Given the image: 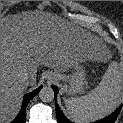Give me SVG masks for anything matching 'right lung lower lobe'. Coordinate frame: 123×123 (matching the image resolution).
<instances>
[{"label":"right lung lower lobe","mask_w":123,"mask_h":123,"mask_svg":"<svg viewBox=\"0 0 123 123\" xmlns=\"http://www.w3.org/2000/svg\"><path fill=\"white\" fill-rule=\"evenodd\" d=\"M42 89V86H40L39 88H37L36 90L26 94L24 96V100H23V105H22V109L19 113V115L17 116V118L12 122V123H26V117H25V108L27 106V104L29 103V101L36 96L39 91Z\"/></svg>","instance_id":"98d812e1"}]
</instances>
